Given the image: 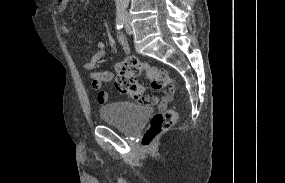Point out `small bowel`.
<instances>
[{
  "instance_id": "small-bowel-1",
  "label": "small bowel",
  "mask_w": 285,
  "mask_h": 183,
  "mask_svg": "<svg viewBox=\"0 0 285 183\" xmlns=\"http://www.w3.org/2000/svg\"><path fill=\"white\" fill-rule=\"evenodd\" d=\"M70 0H64L58 7L59 12H63L66 9V4ZM62 32L66 35H72V29L68 25H62ZM118 40L122 45L126 55L129 54V46L127 44L126 38L122 34H118ZM106 55V44L103 41H99L96 44V51L91 55V57L83 63V67L87 70H92L95 68L96 64L105 57ZM91 79L92 88L97 91V100L100 104H106L108 102V93L102 89L103 83L109 82L113 78V73L111 71H92L89 74ZM169 98L166 99V105Z\"/></svg>"
}]
</instances>
